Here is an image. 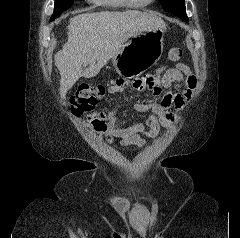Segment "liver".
<instances>
[{"instance_id":"liver-1","label":"liver","mask_w":240,"mask_h":238,"mask_svg":"<svg viewBox=\"0 0 240 238\" xmlns=\"http://www.w3.org/2000/svg\"><path fill=\"white\" fill-rule=\"evenodd\" d=\"M157 29H166L160 17L137 10L83 13L72 17L68 25V40L54 57L61 76V98L66 99L67 91L80 77L98 75L128 38Z\"/></svg>"}]
</instances>
